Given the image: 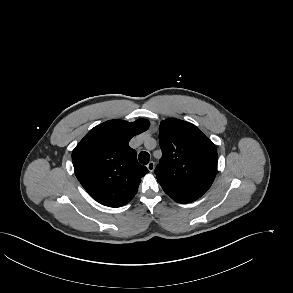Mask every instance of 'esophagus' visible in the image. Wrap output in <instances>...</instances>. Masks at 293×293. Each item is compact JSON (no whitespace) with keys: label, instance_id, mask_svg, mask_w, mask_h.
I'll return each mask as SVG.
<instances>
[{"label":"esophagus","instance_id":"34e87169","mask_svg":"<svg viewBox=\"0 0 293 293\" xmlns=\"http://www.w3.org/2000/svg\"><path fill=\"white\" fill-rule=\"evenodd\" d=\"M147 168L150 172H153L154 168H155V163L153 161H150L148 164H147Z\"/></svg>","mask_w":293,"mask_h":293}]
</instances>
